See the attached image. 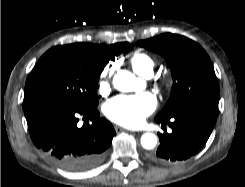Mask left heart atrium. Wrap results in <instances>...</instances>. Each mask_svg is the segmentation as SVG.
<instances>
[{
	"label": "left heart atrium",
	"mask_w": 245,
	"mask_h": 187,
	"mask_svg": "<svg viewBox=\"0 0 245 187\" xmlns=\"http://www.w3.org/2000/svg\"><path fill=\"white\" fill-rule=\"evenodd\" d=\"M156 97L145 92L137 95H119L104 106V113L111 121L126 127H138L156 108Z\"/></svg>",
	"instance_id": "obj_1"
}]
</instances>
